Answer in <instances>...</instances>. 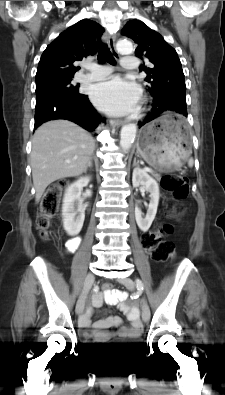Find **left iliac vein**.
I'll list each match as a JSON object with an SVG mask.
<instances>
[{
    "label": "left iliac vein",
    "instance_id": "left-iliac-vein-1",
    "mask_svg": "<svg viewBox=\"0 0 225 395\" xmlns=\"http://www.w3.org/2000/svg\"><path fill=\"white\" fill-rule=\"evenodd\" d=\"M120 283L123 284L129 290L135 289V283L130 277L121 279ZM141 308H142V319L144 322H148L150 319V309L144 298L141 299Z\"/></svg>",
    "mask_w": 225,
    "mask_h": 395
}]
</instances>
